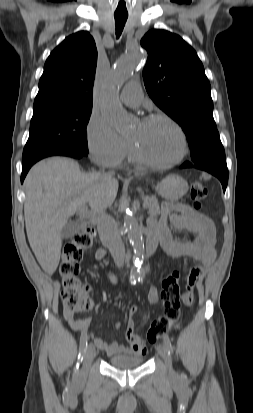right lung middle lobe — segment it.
Returning <instances> with one entry per match:
<instances>
[{
    "label": "right lung middle lobe",
    "mask_w": 253,
    "mask_h": 413,
    "mask_svg": "<svg viewBox=\"0 0 253 413\" xmlns=\"http://www.w3.org/2000/svg\"><path fill=\"white\" fill-rule=\"evenodd\" d=\"M92 107L34 112L22 160L60 151L88 154L86 127Z\"/></svg>",
    "instance_id": "right-lung-middle-lobe-1"
}]
</instances>
